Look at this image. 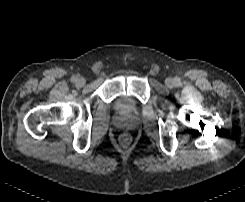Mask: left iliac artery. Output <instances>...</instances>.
I'll list each match as a JSON object with an SVG mask.
<instances>
[{"label":"left iliac artery","mask_w":245,"mask_h":202,"mask_svg":"<svg viewBox=\"0 0 245 202\" xmlns=\"http://www.w3.org/2000/svg\"><path fill=\"white\" fill-rule=\"evenodd\" d=\"M176 81H177V82H179V81H180V79H179V78H177V79H176Z\"/></svg>","instance_id":"44dca946"}]
</instances>
